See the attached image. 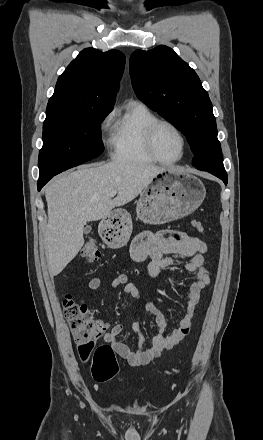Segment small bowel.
<instances>
[{"mask_svg": "<svg viewBox=\"0 0 263 440\" xmlns=\"http://www.w3.org/2000/svg\"><path fill=\"white\" fill-rule=\"evenodd\" d=\"M207 252L208 247L203 241L186 232L165 230L153 233L145 231L134 238L130 248L131 257L137 262L150 259L148 274L152 278L157 279L164 268L179 266L181 269L193 273L195 280L189 288L185 314L175 328L168 330L165 316L154 304L142 302L137 287L129 282L127 274H120L113 279L112 289L123 286L126 295L133 297L144 310L154 315L158 327V331L151 339V345L145 348V339L140 332V316H137L132 329L138 333L139 340L138 348L133 350L128 344L119 340L122 332L120 324L111 325L108 321L96 319V325L104 341L110 343L120 357L132 365H146L159 358L163 350L174 348L189 333L202 290L210 283V271L204 266V254ZM172 255H178L187 260L179 262ZM101 286L102 280L99 277H92L87 283V289L90 291H98Z\"/></svg>", "mask_w": 263, "mask_h": 440, "instance_id": "c3829d8e", "label": "small bowel"}]
</instances>
